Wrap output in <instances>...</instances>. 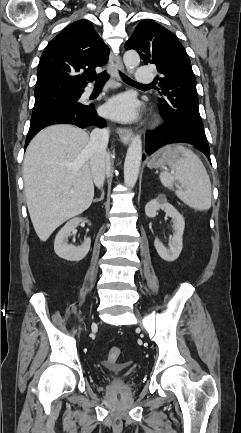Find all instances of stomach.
<instances>
[{"mask_svg":"<svg viewBox=\"0 0 241 433\" xmlns=\"http://www.w3.org/2000/svg\"><path fill=\"white\" fill-rule=\"evenodd\" d=\"M177 159V154L172 150V147L166 146L158 150L148 161L149 168L167 169V165Z\"/></svg>","mask_w":241,"mask_h":433,"instance_id":"stomach-1","label":"stomach"}]
</instances>
